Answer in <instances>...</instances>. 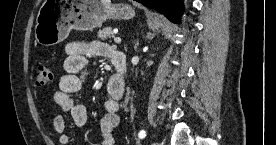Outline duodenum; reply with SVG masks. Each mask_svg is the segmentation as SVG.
<instances>
[{
	"mask_svg": "<svg viewBox=\"0 0 276 145\" xmlns=\"http://www.w3.org/2000/svg\"><path fill=\"white\" fill-rule=\"evenodd\" d=\"M112 63L116 69V74L110 79V87L119 92H124L125 75L127 71V56L122 52H115L112 57Z\"/></svg>",
	"mask_w": 276,
	"mask_h": 145,
	"instance_id": "duodenum-1",
	"label": "duodenum"
}]
</instances>
